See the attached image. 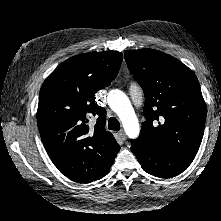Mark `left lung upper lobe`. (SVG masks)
I'll use <instances>...</instances> for the list:
<instances>
[{
    "mask_svg": "<svg viewBox=\"0 0 221 221\" xmlns=\"http://www.w3.org/2000/svg\"><path fill=\"white\" fill-rule=\"evenodd\" d=\"M124 55L145 94V121L139 138L131 142L193 161L206 120L197 77L182 62L157 50H127Z\"/></svg>",
    "mask_w": 221,
    "mask_h": 221,
    "instance_id": "1",
    "label": "left lung upper lobe"
}]
</instances>
